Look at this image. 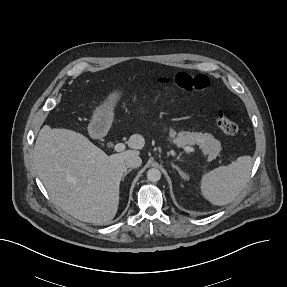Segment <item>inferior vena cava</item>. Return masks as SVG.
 <instances>
[{"label":"inferior vena cava","instance_id":"1","mask_svg":"<svg viewBox=\"0 0 287 287\" xmlns=\"http://www.w3.org/2000/svg\"><path fill=\"white\" fill-rule=\"evenodd\" d=\"M125 164L129 168H138L141 166L142 160L138 155H131L126 159Z\"/></svg>","mask_w":287,"mask_h":287}]
</instances>
